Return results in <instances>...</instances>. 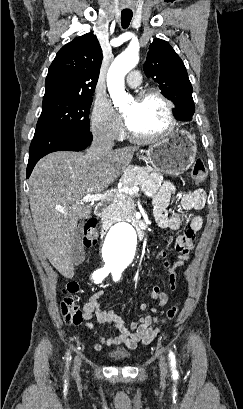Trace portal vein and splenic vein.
I'll list each match as a JSON object with an SVG mask.
<instances>
[{
  "label": "portal vein and splenic vein",
  "mask_w": 243,
  "mask_h": 409,
  "mask_svg": "<svg viewBox=\"0 0 243 409\" xmlns=\"http://www.w3.org/2000/svg\"><path fill=\"white\" fill-rule=\"evenodd\" d=\"M138 191H139V187L137 185L133 187L123 186L109 193L87 194L80 200V203L83 204V203L97 202V201L105 200L106 198L112 196L113 193L124 192L130 195H133V194H137ZM61 211L63 212L64 210H61Z\"/></svg>",
  "instance_id": "obj_1"
}]
</instances>
